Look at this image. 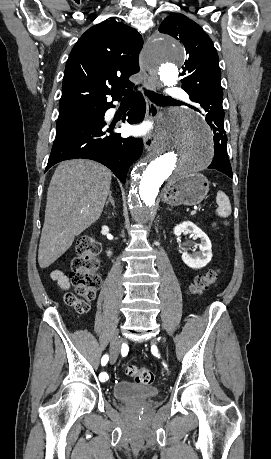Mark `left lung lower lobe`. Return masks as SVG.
<instances>
[{
  "instance_id": "obj_1",
  "label": "left lung lower lobe",
  "mask_w": 271,
  "mask_h": 459,
  "mask_svg": "<svg viewBox=\"0 0 271 459\" xmlns=\"http://www.w3.org/2000/svg\"><path fill=\"white\" fill-rule=\"evenodd\" d=\"M203 99L196 101L201 104ZM202 105V104H201ZM199 111V110H197ZM200 112V111H199ZM206 112V122L211 127L214 133V160L208 166L210 169H216L223 172L229 177L232 176V169L227 155V135L224 131V114L217 112Z\"/></svg>"
}]
</instances>
